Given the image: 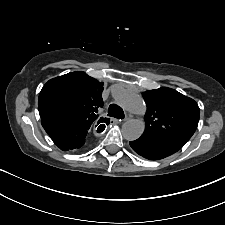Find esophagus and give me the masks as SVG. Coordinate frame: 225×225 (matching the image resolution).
Returning a JSON list of instances; mask_svg holds the SVG:
<instances>
[{
  "label": "esophagus",
  "instance_id": "obj_1",
  "mask_svg": "<svg viewBox=\"0 0 225 225\" xmlns=\"http://www.w3.org/2000/svg\"><path fill=\"white\" fill-rule=\"evenodd\" d=\"M121 120H118V119H112V122L113 123H119Z\"/></svg>",
  "mask_w": 225,
  "mask_h": 225
}]
</instances>
